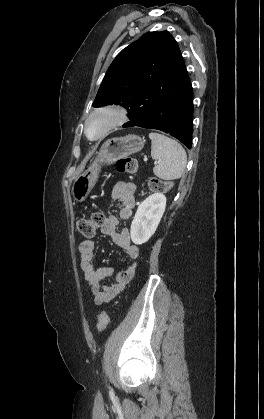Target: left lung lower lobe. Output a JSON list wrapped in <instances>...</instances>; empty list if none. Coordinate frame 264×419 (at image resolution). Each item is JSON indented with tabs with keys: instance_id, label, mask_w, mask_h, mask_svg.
I'll use <instances>...</instances> for the list:
<instances>
[{
	"instance_id": "1",
	"label": "left lung lower lobe",
	"mask_w": 264,
	"mask_h": 419,
	"mask_svg": "<svg viewBox=\"0 0 264 419\" xmlns=\"http://www.w3.org/2000/svg\"><path fill=\"white\" fill-rule=\"evenodd\" d=\"M128 112L130 121L123 127L157 129L191 148L193 92L181 55L176 73L167 81L152 85L149 92Z\"/></svg>"
}]
</instances>
